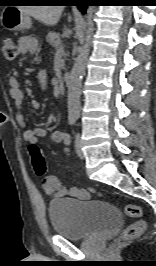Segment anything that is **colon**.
<instances>
[{
	"instance_id": "5ec220e1",
	"label": "colon",
	"mask_w": 156,
	"mask_h": 266,
	"mask_svg": "<svg viewBox=\"0 0 156 266\" xmlns=\"http://www.w3.org/2000/svg\"><path fill=\"white\" fill-rule=\"evenodd\" d=\"M2 50L5 59L8 61L15 60L19 53L18 45L10 38L4 39ZM29 152L36 174L44 175L47 171V165L41 150L36 145H31L29 147ZM90 190L94 191V189L91 188ZM125 213L130 217L140 218L142 216V209L137 205L127 204L125 206ZM145 229V221L139 219L125 228L122 233L121 240H133L139 237L145 231Z\"/></svg>"
}]
</instances>
